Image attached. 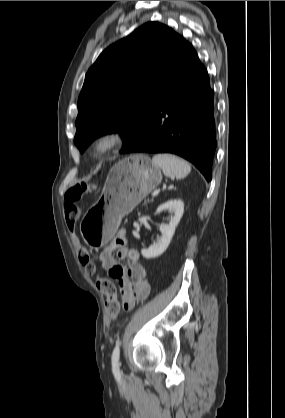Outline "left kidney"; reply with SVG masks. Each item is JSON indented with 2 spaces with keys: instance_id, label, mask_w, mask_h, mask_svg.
<instances>
[{
  "instance_id": "obj_1",
  "label": "left kidney",
  "mask_w": 285,
  "mask_h": 418,
  "mask_svg": "<svg viewBox=\"0 0 285 418\" xmlns=\"http://www.w3.org/2000/svg\"><path fill=\"white\" fill-rule=\"evenodd\" d=\"M165 210L170 211L173 216L171 217L169 224L160 226V232L162 234L161 238L149 248L141 249V254L144 258H155L166 251L175 233L176 226L183 215L184 203L180 199L169 200L160 205L157 208L156 213L159 214Z\"/></svg>"
}]
</instances>
